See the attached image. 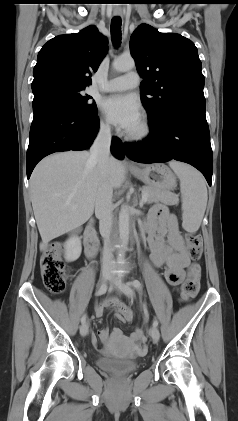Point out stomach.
Instances as JSON below:
<instances>
[{
    "label": "stomach",
    "mask_w": 238,
    "mask_h": 421,
    "mask_svg": "<svg viewBox=\"0 0 238 421\" xmlns=\"http://www.w3.org/2000/svg\"><path fill=\"white\" fill-rule=\"evenodd\" d=\"M130 171L147 186L158 188L163 191L168 192L173 190L177 185L175 175L164 164H150L143 168L130 169Z\"/></svg>",
    "instance_id": "0dacf381"
}]
</instances>
